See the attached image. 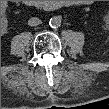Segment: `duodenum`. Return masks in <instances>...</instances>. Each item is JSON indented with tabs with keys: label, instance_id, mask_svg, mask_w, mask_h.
I'll return each mask as SVG.
<instances>
[{
	"label": "duodenum",
	"instance_id": "duodenum-1",
	"mask_svg": "<svg viewBox=\"0 0 109 109\" xmlns=\"http://www.w3.org/2000/svg\"><path fill=\"white\" fill-rule=\"evenodd\" d=\"M26 5L33 8H40L43 10H50L55 7L54 4L48 1H26Z\"/></svg>",
	"mask_w": 109,
	"mask_h": 109
}]
</instances>
